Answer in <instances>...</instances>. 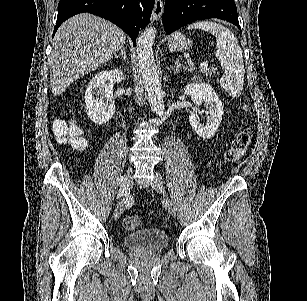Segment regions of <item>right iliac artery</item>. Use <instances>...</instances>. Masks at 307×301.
I'll use <instances>...</instances> for the list:
<instances>
[{"instance_id":"obj_1","label":"right iliac artery","mask_w":307,"mask_h":301,"mask_svg":"<svg viewBox=\"0 0 307 301\" xmlns=\"http://www.w3.org/2000/svg\"><path fill=\"white\" fill-rule=\"evenodd\" d=\"M122 191H119L118 195H117V198H120L122 196Z\"/></svg>"}]
</instances>
